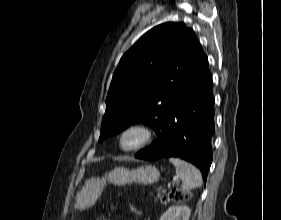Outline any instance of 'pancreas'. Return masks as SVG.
Instances as JSON below:
<instances>
[{
	"mask_svg": "<svg viewBox=\"0 0 281 220\" xmlns=\"http://www.w3.org/2000/svg\"><path fill=\"white\" fill-rule=\"evenodd\" d=\"M163 198V196H160V199H162Z\"/></svg>",
	"mask_w": 281,
	"mask_h": 220,
	"instance_id": "obj_1",
	"label": "pancreas"
}]
</instances>
